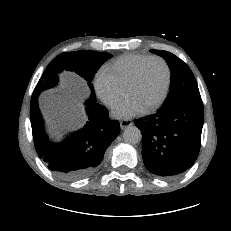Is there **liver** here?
I'll return each mask as SVG.
<instances>
[{
  "mask_svg": "<svg viewBox=\"0 0 231 231\" xmlns=\"http://www.w3.org/2000/svg\"><path fill=\"white\" fill-rule=\"evenodd\" d=\"M45 112L47 117H49L51 120H58V121H65L66 118L60 114V112L57 111V109L54 108V104L51 102H47L45 105Z\"/></svg>",
  "mask_w": 231,
  "mask_h": 231,
  "instance_id": "1",
  "label": "liver"
}]
</instances>
